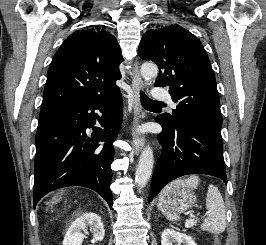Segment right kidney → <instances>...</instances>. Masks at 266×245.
I'll return each mask as SVG.
<instances>
[{"mask_svg": "<svg viewBox=\"0 0 266 245\" xmlns=\"http://www.w3.org/2000/svg\"><path fill=\"white\" fill-rule=\"evenodd\" d=\"M88 227H90L96 241L104 239L105 229L100 217L96 213H84L76 221H73L67 229V245H82L85 237L84 233H88Z\"/></svg>", "mask_w": 266, "mask_h": 245, "instance_id": "obj_1", "label": "right kidney"}]
</instances>
